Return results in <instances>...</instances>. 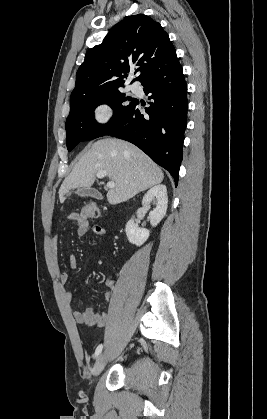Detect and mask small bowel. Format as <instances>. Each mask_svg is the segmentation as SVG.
Returning a JSON list of instances; mask_svg holds the SVG:
<instances>
[{
    "label": "small bowel",
    "instance_id": "1",
    "mask_svg": "<svg viewBox=\"0 0 267 419\" xmlns=\"http://www.w3.org/2000/svg\"><path fill=\"white\" fill-rule=\"evenodd\" d=\"M68 219L75 222L77 225L76 234L79 238L85 237L88 234H93L96 236L105 235L106 231L101 225L90 224L89 220H82L78 213H71L68 216ZM58 236L54 237L52 240V248L55 255V260L57 261V249H58ZM69 265L71 268H76L77 259L72 256L69 259ZM69 280V274L67 272H61L59 274V281L62 284H66ZM105 292L104 298L107 301H110L113 296V290L115 288V282L111 279H107L104 282ZM67 299L71 301L74 297V293L67 291L65 293ZM73 318L78 324H86L89 326H95L101 328L105 326L108 322L109 316L107 313H96L93 308H87L84 311H74Z\"/></svg>",
    "mask_w": 267,
    "mask_h": 419
}]
</instances>
